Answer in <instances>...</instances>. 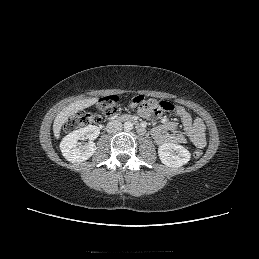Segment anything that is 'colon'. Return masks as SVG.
I'll list each match as a JSON object with an SVG mask.
<instances>
[{
	"label": "colon",
	"instance_id": "1",
	"mask_svg": "<svg viewBox=\"0 0 259 259\" xmlns=\"http://www.w3.org/2000/svg\"><path fill=\"white\" fill-rule=\"evenodd\" d=\"M119 99L117 96H107L101 98L97 103V109L105 117L113 116L118 109ZM130 104L137 106L139 109L149 113L158 114L163 111L174 110L176 105L165 100L145 99L142 95L132 97ZM101 122V116L90 112H78L72 115L64 124L63 131L66 133L73 132L79 128L96 125ZM194 158L202 156L201 150L193 152Z\"/></svg>",
	"mask_w": 259,
	"mask_h": 259
}]
</instances>
